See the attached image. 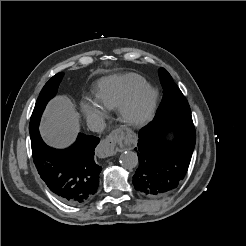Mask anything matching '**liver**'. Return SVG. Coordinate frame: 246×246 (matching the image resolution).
Here are the masks:
<instances>
[{"instance_id": "1", "label": "liver", "mask_w": 246, "mask_h": 246, "mask_svg": "<svg viewBox=\"0 0 246 246\" xmlns=\"http://www.w3.org/2000/svg\"><path fill=\"white\" fill-rule=\"evenodd\" d=\"M79 130V115L65 96H57L47 106L40 126L44 140L54 147L71 144Z\"/></svg>"}]
</instances>
